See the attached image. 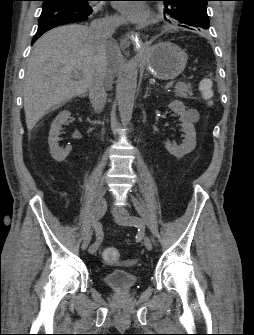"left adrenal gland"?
<instances>
[{"label": "left adrenal gland", "instance_id": "obj_1", "mask_svg": "<svg viewBox=\"0 0 254 335\" xmlns=\"http://www.w3.org/2000/svg\"><path fill=\"white\" fill-rule=\"evenodd\" d=\"M149 90H150V88L147 87L145 95H144V99H146L147 97H149Z\"/></svg>", "mask_w": 254, "mask_h": 335}]
</instances>
